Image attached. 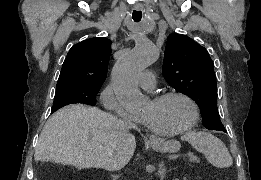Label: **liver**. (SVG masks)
Wrapping results in <instances>:
<instances>
[{"label":"liver","instance_id":"obj_1","mask_svg":"<svg viewBox=\"0 0 261 180\" xmlns=\"http://www.w3.org/2000/svg\"><path fill=\"white\" fill-rule=\"evenodd\" d=\"M135 136L112 114L88 108L66 106L49 118L35 152V162H54L74 168L115 170L118 156L132 158Z\"/></svg>","mask_w":261,"mask_h":180}]
</instances>
